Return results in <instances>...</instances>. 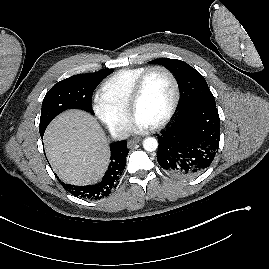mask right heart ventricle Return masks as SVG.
<instances>
[{"label":"right heart ventricle","mask_w":269,"mask_h":269,"mask_svg":"<svg viewBox=\"0 0 269 269\" xmlns=\"http://www.w3.org/2000/svg\"><path fill=\"white\" fill-rule=\"evenodd\" d=\"M146 66L124 68L111 75L101 87V95L114 106L128 111L134 85Z\"/></svg>","instance_id":"1"}]
</instances>
